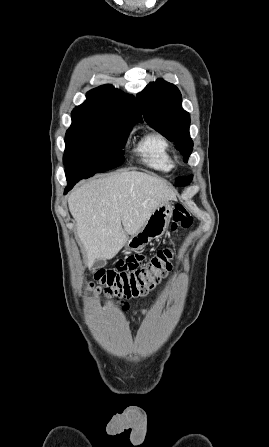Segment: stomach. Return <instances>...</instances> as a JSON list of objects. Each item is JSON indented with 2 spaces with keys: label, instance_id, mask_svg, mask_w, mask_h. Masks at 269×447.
I'll return each mask as SVG.
<instances>
[{
  "label": "stomach",
  "instance_id": "1",
  "mask_svg": "<svg viewBox=\"0 0 269 447\" xmlns=\"http://www.w3.org/2000/svg\"><path fill=\"white\" fill-rule=\"evenodd\" d=\"M172 210L171 202L160 204L159 208H156L153 214L147 218L141 229L129 237L127 243H125V249L137 251V249H143L144 245H147L151 239L161 237L170 222Z\"/></svg>",
  "mask_w": 269,
  "mask_h": 447
}]
</instances>
